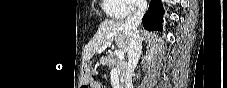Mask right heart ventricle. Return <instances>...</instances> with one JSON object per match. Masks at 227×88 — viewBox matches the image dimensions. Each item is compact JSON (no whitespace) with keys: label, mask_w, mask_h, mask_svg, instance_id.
Returning <instances> with one entry per match:
<instances>
[{"label":"right heart ventricle","mask_w":227,"mask_h":88,"mask_svg":"<svg viewBox=\"0 0 227 88\" xmlns=\"http://www.w3.org/2000/svg\"><path fill=\"white\" fill-rule=\"evenodd\" d=\"M104 12L112 19H122L126 17L128 5L124 0H102Z\"/></svg>","instance_id":"e07e8e85"}]
</instances>
